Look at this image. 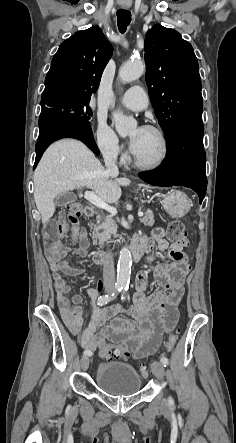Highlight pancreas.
Wrapping results in <instances>:
<instances>
[{"label":"pancreas","mask_w":236,"mask_h":443,"mask_svg":"<svg viewBox=\"0 0 236 443\" xmlns=\"http://www.w3.org/2000/svg\"><path fill=\"white\" fill-rule=\"evenodd\" d=\"M140 221L145 226H153L155 222L153 212L147 210L145 216L141 218ZM117 228L118 226L111 216H106L105 218L98 216L96 224L92 227L93 244L103 246L112 235L116 236Z\"/></svg>","instance_id":"cf45deb5"}]
</instances>
